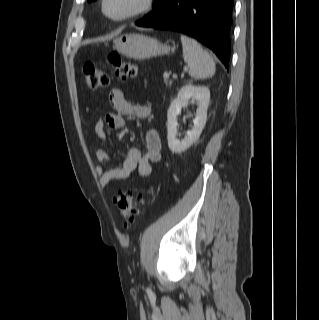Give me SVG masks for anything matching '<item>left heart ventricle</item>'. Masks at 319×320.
Masks as SVG:
<instances>
[{
    "instance_id": "left-heart-ventricle-1",
    "label": "left heart ventricle",
    "mask_w": 319,
    "mask_h": 320,
    "mask_svg": "<svg viewBox=\"0 0 319 320\" xmlns=\"http://www.w3.org/2000/svg\"><path fill=\"white\" fill-rule=\"evenodd\" d=\"M137 2L138 0H108L106 9L111 15L119 17L132 10Z\"/></svg>"
}]
</instances>
